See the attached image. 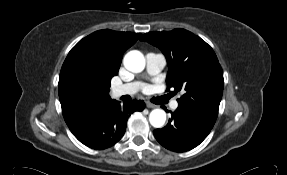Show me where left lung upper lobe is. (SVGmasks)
Here are the masks:
<instances>
[{"mask_svg": "<svg viewBox=\"0 0 287 175\" xmlns=\"http://www.w3.org/2000/svg\"><path fill=\"white\" fill-rule=\"evenodd\" d=\"M161 49L169 72L168 88L184 91L178 108L213 127L223 94V71L213 49L200 37L184 29L149 32L141 39Z\"/></svg>", "mask_w": 287, "mask_h": 175, "instance_id": "left-lung-upper-lobe-1", "label": "left lung upper lobe"}]
</instances>
